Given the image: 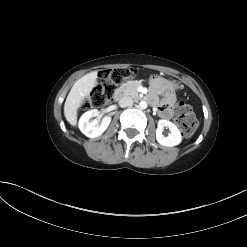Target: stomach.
Returning <instances> with one entry per match:
<instances>
[{
	"mask_svg": "<svg viewBox=\"0 0 247 247\" xmlns=\"http://www.w3.org/2000/svg\"><path fill=\"white\" fill-rule=\"evenodd\" d=\"M170 83H171V85H172L173 88H175V89L178 88V84L176 82H170Z\"/></svg>",
	"mask_w": 247,
	"mask_h": 247,
	"instance_id": "0dacf381",
	"label": "stomach"
}]
</instances>
